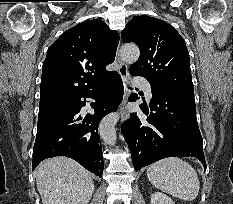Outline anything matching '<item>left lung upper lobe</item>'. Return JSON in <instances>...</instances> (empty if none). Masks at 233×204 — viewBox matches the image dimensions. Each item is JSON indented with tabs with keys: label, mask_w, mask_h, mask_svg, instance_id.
Segmentation results:
<instances>
[{
	"label": "left lung upper lobe",
	"mask_w": 233,
	"mask_h": 204,
	"mask_svg": "<svg viewBox=\"0 0 233 204\" xmlns=\"http://www.w3.org/2000/svg\"><path fill=\"white\" fill-rule=\"evenodd\" d=\"M121 37L140 49L139 59L129 68L131 75L145 77L153 90L194 95L188 50L174 27L142 15L128 22Z\"/></svg>",
	"instance_id": "left-lung-upper-lobe-1"
}]
</instances>
